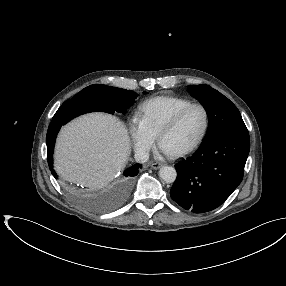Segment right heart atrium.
<instances>
[{"label": "right heart atrium", "mask_w": 286, "mask_h": 286, "mask_svg": "<svg viewBox=\"0 0 286 286\" xmlns=\"http://www.w3.org/2000/svg\"><path fill=\"white\" fill-rule=\"evenodd\" d=\"M129 131L136 151L140 154L148 153L155 143V135L148 130L140 117H132Z\"/></svg>", "instance_id": "1"}]
</instances>
